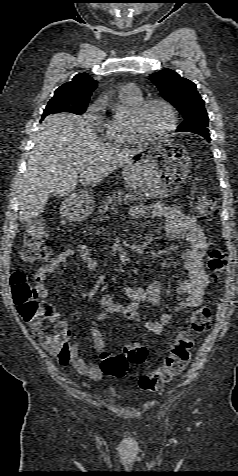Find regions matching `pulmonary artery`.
Wrapping results in <instances>:
<instances>
[{
  "instance_id": "1",
  "label": "pulmonary artery",
  "mask_w": 238,
  "mask_h": 476,
  "mask_svg": "<svg viewBox=\"0 0 238 476\" xmlns=\"http://www.w3.org/2000/svg\"><path fill=\"white\" fill-rule=\"evenodd\" d=\"M123 91L125 92H128V93H138V89L137 87H135L134 85H126L123 87L122 89Z\"/></svg>"
}]
</instances>
